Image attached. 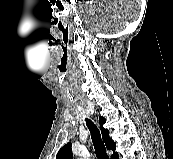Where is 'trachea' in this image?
Here are the masks:
<instances>
[{"mask_svg": "<svg viewBox=\"0 0 173 159\" xmlns=\"http://www.w3.org/2000/svg\"><path fill=\"white\" fill-rule=\"evenodd\" d=\"M85 120H86V125L91 133V138L93 141L97 159H109V156L106 153L105 145L101 139L100 132L97 126L90 119L86 118Z\"/></svg>", "mask_w": 173, "mask_h": 159, "instance_id": "trachea-1", "label": "trachea"}]
</instances>
